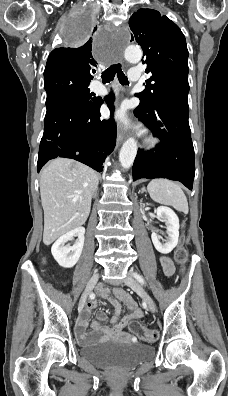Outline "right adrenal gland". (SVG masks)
I'll return each mask as SVG.
<instances>
[{"label": "right adrenal gland", "instance_id": "2a0ac1e0", "mask_svg": "<svg viewBox=\"0 0 228 396\" xmlns=\"http://www.w3.org/2000/svg\"><path fill=\"white\" fill-rule=\"evenodd\" d=\"M97 196V191L94 193L93 198H96Z\"/></svg>", "mask_w": 228, "mask_h": 396}]
</instances>
